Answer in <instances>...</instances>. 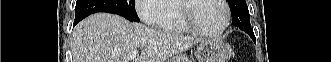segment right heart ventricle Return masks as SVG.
Instances as JSON below:
<instances>
[{
	"instance_id": "1",
	"label": "right heart ventricle",
	"mask_w": 331,
	"mask_h": 62,
	"mask_svg": "<svg viewBox=\"0 0 331 62\" xmlns=\"http://www.w3.org/2000/svg\"><path fill=\"white\" fill-rule=\"evenodd\" d=\"M160 12L165 14V21L159 27L161 31L168 33L188 32V29L181 21L179 8L176 1H167V3L162 6Z\"/></svg>"
}]
</instances>
